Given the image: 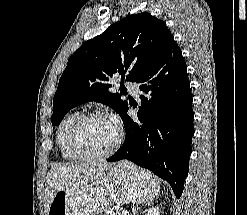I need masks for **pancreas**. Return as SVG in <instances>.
<instances>
[{
  "label": "pancreas",
  "instance_id": "pancreas-1",
  "mask_svg": "<svg viewBox=\"0 0 247 215\" xmlns=\"http://www.w3.org/2000/svg\"><path fill=\"white\" fill-rule=\"evenodd\" d=\"M103 213H104V215H122L121 211H115L113 209L112 210L105 209V210H103Z\"/></svg>",
  "mask_w": 247,
  "mask_h": 215
}]
</instances>
